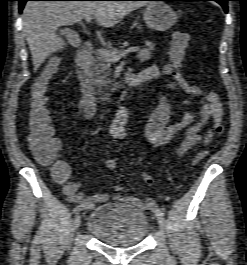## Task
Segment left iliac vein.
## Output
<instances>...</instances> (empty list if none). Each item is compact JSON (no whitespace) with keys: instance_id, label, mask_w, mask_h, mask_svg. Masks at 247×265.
<instances>
[{"instance_id":"obj_1","label":"left iliac vein","mask_w":247,"mask_h":265,"mask_svg":"<svg viewBox=\"0 0 247 265\" xmlns=\"http://www.w3.org/2000/svg\"><path fill=\"white\" fill-rule=\"evenodd\" d=\"M157 221H158L159 227L161 229H164L165 228V219L163 217L157 216Z\"/></svg>"}]
</instances>
